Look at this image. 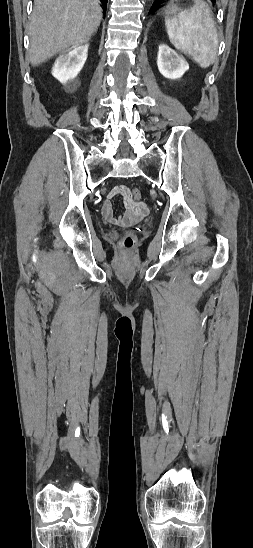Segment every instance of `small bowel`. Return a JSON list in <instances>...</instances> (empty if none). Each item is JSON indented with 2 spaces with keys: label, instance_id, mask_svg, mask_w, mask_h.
Here are the masks:
<instances>
[{
  "label": "small bowel",
  "instance_id": "small-bowel-1",
  "mask_svg": "<svg viewBox=\"0 0 253 548\" xmlns=\"http://www.w3.org/2000/svg\"><path fill=\"white\" fill-rule=\"evenodd\" d=\"M122 196L124 197L125 212L120 216H115L111 199ZM148 213V206L144 202L133 200L130 191L124 185L113 187L107 194L106 199L102 204V215L110 223L118 226H127L138 222Z\"/></svg>",
  "mask_w": 253,
  "mask_h": 548
}]
</instances>
